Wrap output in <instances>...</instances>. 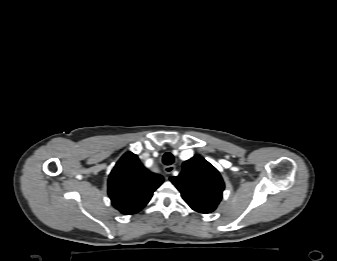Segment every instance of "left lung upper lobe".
I'll list each match as a JSON object with an SVG mask.
<instances>
[{
	"label": "left lung upper lobe",
	"mask_w": 337,
	"mask_h": 261,
	"mask_svg": "<svg viewBox=\"0 0 337 261\" xmlns=\"http://www.w3.org/2000/svg\"><path fill=\"white\" fill-rule=\"evenodd\" d=\"M170 180L190 208L204 214L217 208L225 187L218 170L199 155L185 161L182 172Z\"/></svg>",
	"instance_id": "obj_1"
}]
</instances>
